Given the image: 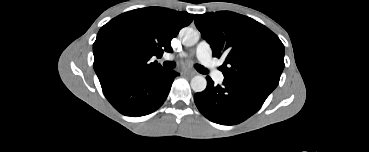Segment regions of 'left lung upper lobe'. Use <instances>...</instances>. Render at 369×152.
<instances>
[{
  "mask_svg": "<svg viewBox=\"0 0 369 152\" xmlns=\"http://www.w3.org/2000/svg\"><path fill=\"white\" fill-rule=\"evenodd\" d=\"M195 25L214 57H225L224 80L273 91L284 68V45L271 30L234 12L195 15Z\"/></svg>",
  "mask_w": 369,
  "mask_h": 152,
  "instance_id": "obj_1",
  "label": "left lung upper lobe"
}]
</instances>
